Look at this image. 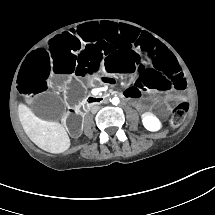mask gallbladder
Returning <instances> with one entry per match:
<instances>
[{"label": "gallbladder", "instance_id": "bac80fb5", "mask_svg": "<svg viewBox=\"0 0 215 215\" xmlns=\"http://www.w3.org/2000/svg\"><path fill=\"white\" fill-rule=\"evenodd\" d=\"M65 109V100L55 94H39L33 100V113L39 119L59 120Z\"/></svg>", "mask_w": 215, "mask_h": 215}]
</instances>
